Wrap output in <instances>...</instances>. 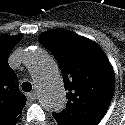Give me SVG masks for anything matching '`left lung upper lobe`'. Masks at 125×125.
Listing matches in <instances>:
<instances>
[{
    "label": "left lung upper lobe",
    "mask_w": 125,
    "mask_h": 125,
    "mask_svg": "<svg viewBox=\"0 0 125 125\" xmlns=\"http://www.w3.org/2000/svg\"><path fill=\"white\" fill-rule=\"evenodd\" d=\"M39 41L57 60L62 72L66 109L53 113L59 125H97L114 94L115 75L102 49L67 30L42 33Z\"/></svg>",
    "instance_id": "left-lung-upper-lobe-1"
}]
</instances>
